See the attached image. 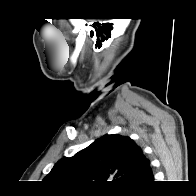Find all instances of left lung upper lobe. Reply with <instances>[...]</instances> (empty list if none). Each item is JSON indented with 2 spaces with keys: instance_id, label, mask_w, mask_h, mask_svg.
<instances>
[{
  "instance_id": "left-lung-upper-lobe-1",
  "label": "left lung upper lobe",
  "mask_w": 196,
  "mask_h": 196,
  "mask_svg": "<svg viewBox=\"0 0 196 196\" xmlns=\"http://www.w3.org/2000/svg\"><path fill=\"white\" fill-rule=\"evenodd\" d=\"M149 167V159L130 137L111 134L59 160L45 180L62 188L127 191L142 184Z\"/></svg>"
}]
</instances>
